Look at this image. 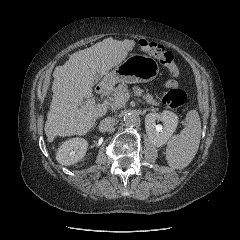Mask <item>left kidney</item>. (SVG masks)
<instances>
[{
    "label": "left kidney",
    "instance_id": "obj_1",
    "mask_svg": "<svg viewBox=\"0 0 240 240\" xmlns=\"http://www.w3.org/2000/svg\"><path fill=\"white\" fill-rule=\"evenodd\" d=\"M178 116L171 111H163L162 113H149L145 117V128L150 141L155 146L164 145L178 125ZM156 121L163 122V127L156 125Z\"/></svg>",
    "mask_w": 240,
    "mask_h": 240
}]
</instances>
